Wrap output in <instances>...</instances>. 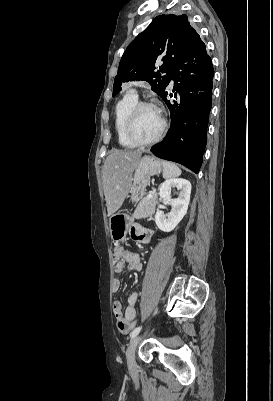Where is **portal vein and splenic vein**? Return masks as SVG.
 I'll return each instance as SVG.
<instances>
[{"instance_id":"18ae733b","label":"portal vein and splenic vein","mask_w":273,"mask_h":401,"mask_svg":"<svg viewBox=\"0 0 273 401\" xmlns=\"http://www.w3.org/2000/svg\"><path fill=\"white\" fill-rule=\"evenodd\" d=\"M152 198L151 192L150 194L147 195V200H150Z\"/></svg>"}]
</instances>
